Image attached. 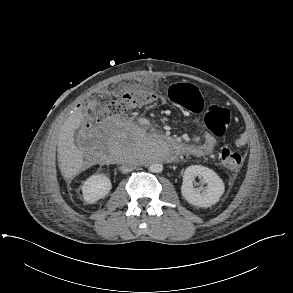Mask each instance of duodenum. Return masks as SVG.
Segmentation results:
<instances>
[{
    "instance_id": "410a0bca",
    "label": "duodenum",
    "mask_w": 293,
    "mask_h": 293,
    "mask_svg": "<svg viewBox=\"0 0 293 293\" xmlns=\"http://www.w3.org/2000/svg\"><path fill=\"white\" fill-rule=\"evenodd\" d=\"M164 140H167L169 143H171V145L173 146V149L178 152V153H185L187 151L188 145L178 141L177 139H175L172 136H168V135H162L161 136ZM117 157L116 153H113L111 158L115 159ZM170 161H174L175 158H170Z\"/></svg>"
}]
</instances>
